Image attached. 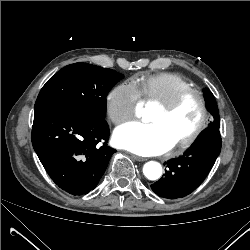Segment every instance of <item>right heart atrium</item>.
I'll list each match as a JSON object with an SVG mask.
<instances>
[{"label": "right heart atrium", "instance_id": "1", "mask_svg": "<svg viewBox=\"0 0 250 250\" xmlns=\"http://www.w3.org/2000/svg\"><path fill=\"white\" fill-rule=\"evenodd\" d=\"M140 105V93L135 84L122 82L114 86L106 95V112L115 125L131 119Z\"/></svg>", "mask_w": 250, "mask_h": 250}]
</instances>
